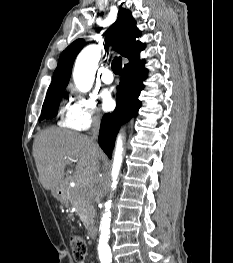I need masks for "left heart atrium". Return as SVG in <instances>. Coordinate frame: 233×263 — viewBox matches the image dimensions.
<instances>
[{"instance_id":"obj_1","label":"left heart atrium","mask_w":233,"mask_h":263,"mask_svg":"<svg viewBox=\"0 0 233 263\" xmlns=\"http://www.w3.org/2000/svg\"><path fill=\"white\" fill-rule=\"evenodd\" d=\"M101 100H102V109L104 111H109L113 108L114 100L112 98L110 91L108 90L103 91L101 94Z\"/></svg>"}]
</instances>
